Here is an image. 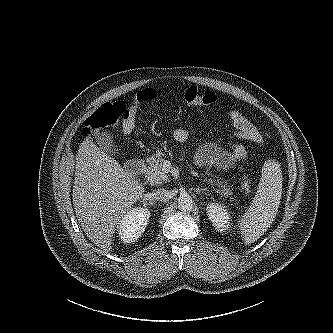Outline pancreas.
<instances>
[{"label": "pancreas", "instance_id": "pancreas-1", "mask_svg": "<svg viewBox=\"0 0 333 333\" xmlns=\"http://www.w3.org/2000/svg\"><path fill=\"white\" fill-rule=\"evenodd\" d=\"M149 166L146 171L147 177L149 181L154 185H161L164 182L169 181L168 174L163 170V164L165 162L164 154L161 151H157L155 154H153L149 160ZM207 182H210L213 184V180H204ZM218 186L220 187V190L218 192L223 195L224 197H228L232 195V191L227 186V184L219 183Z\"/></svg>", "mask_w": 333, "mask_h": 333}]
</instances>
